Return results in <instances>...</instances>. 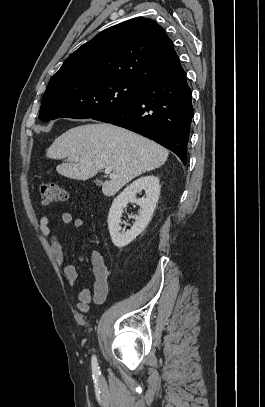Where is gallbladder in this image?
Segmentation results:
<instances>
[{
    "label": "gallbladder",
    "mask_w": 265,
    "mask_h": 407,
    "mask_svg": "<svg viewBox=\"0 0 265 407\" xmlns=\"http://www.w3.org/2000/svg\"><path fill=\"white\" fill-rule=\"evenodd\" d=\"M95 183L96 185H101L102 182L100 180H96Z\"/></svg>",
    "instance_id": "gallbladder-1"
}]
</instances>
